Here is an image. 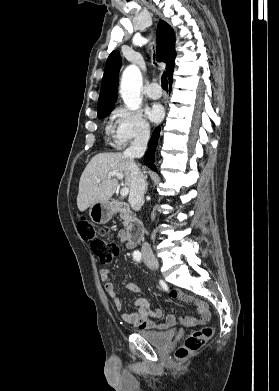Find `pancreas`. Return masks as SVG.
I'll return each mask as SVG.
<instances>
[{
  "label": "pancreas",
  "instance_id": "pancreas-1",
  "mask_svg": "<svg viewBox=\"0 0 279 391\" xmlns=\"http://www.w3.org/2000/svg\"><path fill=\"white\" fill-rule=\"evenodd\" d=\"M123 220H124V222H123L124 226H127L128 223H129L128 219L127 218H123Z\"/></svg>",
  "mask_w": 279,
  "mask_h": 391
}]
</instances>
